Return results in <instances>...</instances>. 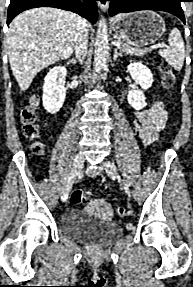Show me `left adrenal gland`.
Listing matches in <instances>:
<instances>
[{"instance_id":"a2214340","label":"left adrenal gland","mask_w":193,"mask_h":287,"mask_svg":"<svg viewBox=\"0 0 193 287\" xmlns=\"http://www.w3.org/2000/svg\"><path fill=\"white\" fill-rule=\"evenodd\" d=\"M118 56H122V53L118 52V49H114L113 59L116 60Z\"/></svg>"}]
</instances>
